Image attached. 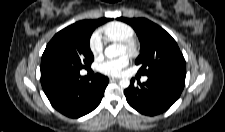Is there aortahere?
Wrapping results in <instances>:
<instances>
[{"mask_svg": "<svg viewBox=\"0 0 225 132\" xmlns=\"http://www.w3.org/2000/svg\"><path fill=\"white\" fill-rule=\"evenodd\" d=\"M123 53V47L119 44H111L105 49V55L108 58L118 57ZM130 85L129 79H121L120 80V86L122 88H128Z\"/></svg>", "mask_w": 225, "mask_h": 132, "instance_id": "aorta-1", "label": "aorta"}]
</instances>
